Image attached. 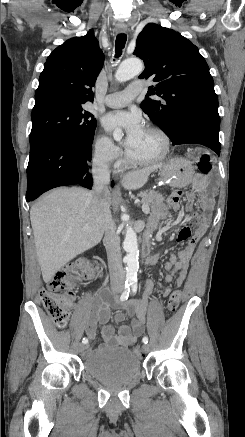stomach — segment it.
Returning <instances> with one entry per match:
<instances>
[{"instance_id": "0dacf381", "label": "stomach", "mask_w": 245, "mask_h": 437, "mask_svg": "<svg viewBox=\"0 0 245 437\" xmlns=\"http://www.w3.org/2000/svg\"><path fill=\"white\" fill-rule=\"evenodd\" d=\"M193 174L194 169L191 162L178 157L160 167L157 181L161 187L183 188L191 183Z\"/></svg>"}]
</instances>
